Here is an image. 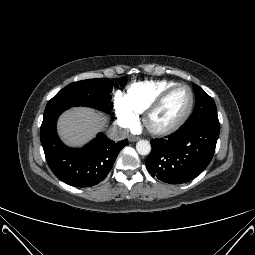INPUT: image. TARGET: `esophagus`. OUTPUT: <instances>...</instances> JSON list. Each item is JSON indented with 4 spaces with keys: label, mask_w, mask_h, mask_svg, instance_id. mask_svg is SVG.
Masks as SVG:
<instances>
[{
    "label": "esophagus",
    "mask_w": 255,
    "mask_h": 255,
    "mask_svg": "<svg viewBox=\"0 0 255 255\" xmlns=\"http://www.w3.org/2000/svg\"><path fill=\"white\" fill-rule=\"evenodd\" d=\"M128 140H129L130 142H136V141L139 140V137H138V136H129Z\"/></svg>",
    "instance_id": "esophagus-1"
}]
</instances>
